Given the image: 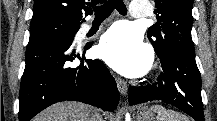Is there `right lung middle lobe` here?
I'll use <instances>...</instances> for the list:
<instances>
[{"instance_id":"right-lung-middle-lobe-1","label":"right lung middle lobe","mask_w":217,"mask_h":121,"mask_svg":"<svg viewBox=\"0 0 217 121\" xmlns=\"http://www.w3.org/2000/svg\"><path fill=\"white\" fill-rule=\"evenodd\" d=\"M79 28L80 25L78 24H71L55 19L31 22L29 42L55 36L74 38Z\"/></svg>"}]
</instances>
